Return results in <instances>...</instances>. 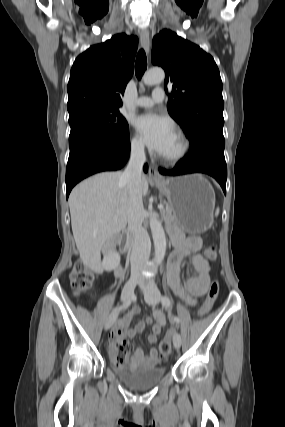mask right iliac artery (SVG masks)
I'll return each mask as SVG.
<instances>
[{
  "label": "right iliac artery",
  "instance_id": "obj_1",
  "mask_svg": "<svg viewBox=\"0 0 285 427\" xmlns=\"http://www.w3.org/2000/svg\"><path fill=\"white\" fill-rule=\"evenodd\" d=\"M131 300L132 299H128L120 308H116L117 309H126L130 304H131Z\"/></svg>",
  "mask_w": 285,
  "mask_h": 427
}]
</instances>
